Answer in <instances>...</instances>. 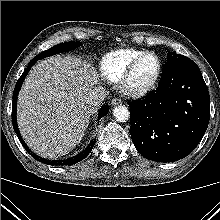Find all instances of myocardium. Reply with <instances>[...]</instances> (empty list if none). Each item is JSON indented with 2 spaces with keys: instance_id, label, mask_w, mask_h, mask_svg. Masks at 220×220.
Here are the masks:
<instances>
[{
  "instance_id": "myocardium-1",
  "label": "myocardium",
  "mask_w": 220,
  "mask_h": 220,
  "mask_svg": "<svg viewBox=\"0 0 220 220\" xmlns=\"http://www.w3.org/2000/svg\"><path fill=\"white\" fill-rule=\"evenodd\" d=\"M146 56H153L156 58L157 61L156 71L153 77L146 84L141 86H135L131 83L132 76L140 61ZM161 71H162V63L160 57L152 51H144L129 64V66L127 67V69L125 70V72L123 73L122 77L119 80V88L125 96L132 98L142 97L155 87L160 77Z\"/></svg>"
}]
</instances>
